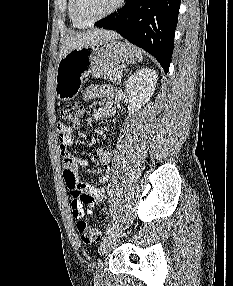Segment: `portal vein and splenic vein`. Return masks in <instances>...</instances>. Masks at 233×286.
I'll return each instance as SVG.
<instances>
[{
	"label": "portal vein and splenic vein",
	"instance_id": "portal-vein-and-splenic-vein-1",
	"mask_svg": "<svg viewBox=\"0 0 233 286\" xmlns=\"http://www.w3.org/2000/svg\"><path fill=\"white\" fill-rule=\"evenodd\" d=\"M117 76H118L119 78H121V77H122V72H118V73H117Z\"/></svg>",
	"mask_w": 233,
	"mask_h": 286
}]
</instances>
